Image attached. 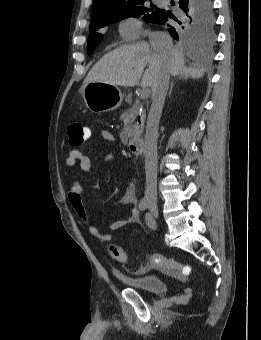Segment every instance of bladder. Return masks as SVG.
<instances>
[{"instance_id":"1","label":"bladder","mask_w":261,"mask_h":340,"mask_svg":"<svg viewBox=\"0 0 261 340\" xmlns=\"http://www.w3.org/2000/svg\"><path fill=\"white\" fill-rule=\"evenodd\" d=\"M116 276L118 280L125 283L128 287L143 293L163 295L168 289L164 278L156 274L139 277H128L121 274Z\"/></svg>"}]
</instances>
